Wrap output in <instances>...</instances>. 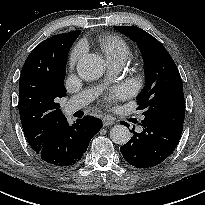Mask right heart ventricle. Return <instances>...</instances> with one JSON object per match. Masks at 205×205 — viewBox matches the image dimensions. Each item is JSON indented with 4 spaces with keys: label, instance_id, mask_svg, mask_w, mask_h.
I'll use <instances>...</instances> for the list:
<instances>
[{
    "label": "right heart ventricle",
    "instance_id": "1",
    "mask_svg": "<svg viewBox=\"0 0 205 205\" xmlns=\"http://www.w3.org/2000/svg\"><path fill=\"white\" fill-rule=\"evenodd\" d=\"M97 44L104 53L108 63L125 62L130 56V47L127 42L115 34H102L97 38Z\"/></svg>",
    "mask_w": 205,
    "mask_h": 205
}]
</instances>
